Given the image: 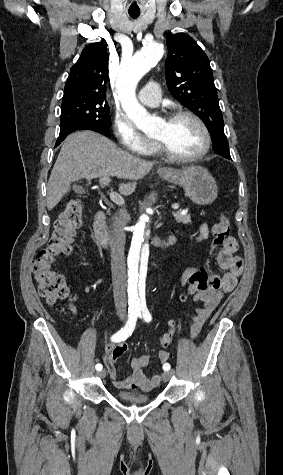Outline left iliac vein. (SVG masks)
Listing matches in <instances>:
<instances>
[{
    "mask_svg": "<svg viewBox=\"0 0 283 475\" xmlns=\"http://www.w3.org/2000/svg\"><path fill=\"white\" fill-rule=\"evenodd\" d=\"M173 373H174L173 371L162 373L163 381H168L171 378V376L173 375Z\"/></svg>",
    "mask_w": 283,
    "mask_h": 475,
    "instance_id": "1",
    "label": "left iliac vein"
}]
</instances>
